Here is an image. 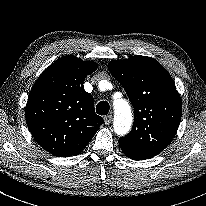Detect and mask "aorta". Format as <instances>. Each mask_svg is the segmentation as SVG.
<instances>
[{"label":"aorta","mask_w":206,"mask_h":206,"mask_svg":"<svg viewBox=\"0 0 206 206\" xmlns=\"http://www.w3.org/2000/svg\"><path fill=\"white\" fill-rule=\"evenodd\" d=\"M114 106V131L116 134L123 136L131 128L132 125V113L130 106L124 99L115 100Z\"/></svg>","instance_id":"obj_1"}]
</instances>
